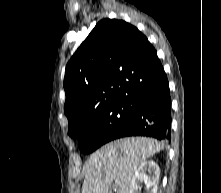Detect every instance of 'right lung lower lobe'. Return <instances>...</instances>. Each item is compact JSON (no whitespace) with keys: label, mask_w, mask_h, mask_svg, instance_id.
<instances>
[{"label":"right lung lower lobe","mask_w":221,"mask_h":193,"mask_svg":"<svg viewBox=\"0 0 221 193\" xmlns=\"http://www.w3.org/2000/svg\"><path fill=\"white\" fill-rule=\"evenodd\" d=\"M136 111L114 139L126 136H150L171 140V98L162 65L136 97Z\"/></svg>","instance_id":"obj_1"}]
</instances>
